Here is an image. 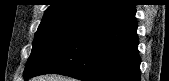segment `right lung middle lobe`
Returning <instances> with one entry per match:
<instances>
[{
    "mask_svg": "<svg viewBox=\"0 0 169 81\" xmlns=\"http://www.w3.org/2000/svg\"><path fill=\"white\" fill-rule=\"evenodd\" d=\"M87 20L75 16L42 19L26 63L24 76L34 72Z\"/></svg>",
    "mask_w": 169,
    "mask_h": 81,
    "instance_id": "obj_1",
    "label": "right lung middle lobe"
}]
</instances>
